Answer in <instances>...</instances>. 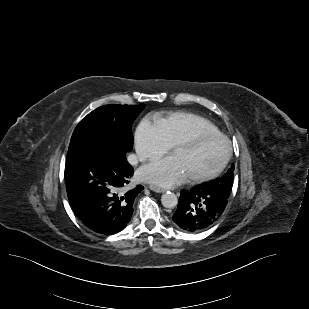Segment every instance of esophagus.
Returning a JSON list of instances; mask_svg holds the SVG:
<instances>
[{
  "mask_svg": "<svg viewBox=\"0 0 309 309\" xmlns=\"http://www.w3.org/2000/svg\"><path fill=\"white\" fill-rule=\"evenodd\" d=\"M149 188H150V190L157 192V193H162V192L165 191L164 188L156 186V185H150Z\"/></svg>",
  "mask_w": 309,
  "mask_h": 309,
  "instance_id": "1",
  "label": "esophagus"
}]
</instances>
